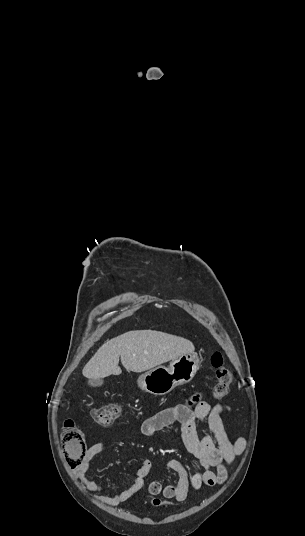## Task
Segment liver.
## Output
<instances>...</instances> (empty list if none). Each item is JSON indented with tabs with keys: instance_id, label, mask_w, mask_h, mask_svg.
<instances>
[{
	"instance_id": "6515ba94",
	"label": "liver",
	"mask_w": 305,
	"mask_h": 536,
	"mask_svg": "<svg viewBox=\"0 0 305 536\" xmlns=\"http://www.w3.org/2000/svg\"><path fill=\"white\" fill-rule=\"evenodd\" d=\"M194 350L189 340L164 332H126L103 344L84 366L82 374L92 380L107 378L111 374L119 376L122 372L118 366L119 358L127 372H146L170 360H177L183 354H193Z\"/></svg>"
}]
</instances>
